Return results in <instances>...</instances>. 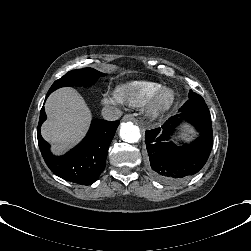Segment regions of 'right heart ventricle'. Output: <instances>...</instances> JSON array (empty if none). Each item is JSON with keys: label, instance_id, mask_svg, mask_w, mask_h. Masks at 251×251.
Listing matches in <instances>:
<instances>
[{"label": "right heart ventricle", "instance_id": "e07e8e85", "mask_svg": "<svg viewBox=\"0 0 251 251\" xmlns=\"http://www.w3.org/2000/svg\"><path fill=\"white\" fill-rule=\"evenodd\" d=\"M159 82L154 79H135L117 85L115 96L132 107H143Z\"/></svg>", "mask_w": 251, "mask_h": 251}]
</instances>
